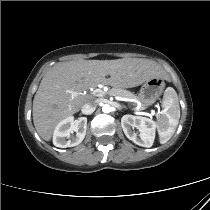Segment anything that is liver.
<instances>
[{"label":"liver","instance_id":"1","mask_svg":"<svg viewBox=\"0 0 210 210\" xmlns=\"http://www.w3.org/2000/svg\"><path fill=\"white\" fill-rule=\"evenodd\" d=\"M161 68L142 58L69 61L53 66L41 80L33 100V122L42 139L49 141L57 124L80 111L92 100L83 91L107 84L114 88L136 87L160 78ZM109 75V78L106 76ZM76 92V95H72Z\"/></svg>","mask_w":210,"mask_h":210}]
</instances>
